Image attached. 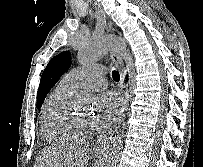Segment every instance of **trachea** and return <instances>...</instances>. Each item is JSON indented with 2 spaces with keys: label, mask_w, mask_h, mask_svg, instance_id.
<instances>
[{
  "label": "trachea",
  "mask_w": 203,
  "mask_h": 167,
  "mask_svg": "<svg viewBox=\"0 0 203 167\" xmlns=\"http://www.w3.org/2000/svg\"><path fill=\"white\" fill-rule=\"evenodd\" d=\"M112 78H113L115 81H119V80H120L119 72L116 71V70L112 71Z\"/></svg>",
  "instance_id": "3493384b"
}]
</instances>
